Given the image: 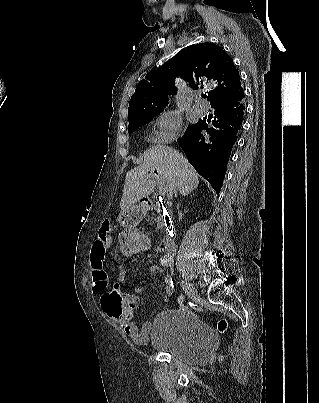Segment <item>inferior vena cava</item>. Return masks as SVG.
Wrapping results in <instances>:
<instances>
[{
    "instance_id": "602c4592",
    "label": "inferior vena cava",
    "mask_w": 319,
    "mask_h": 403,
    "mask_svg": "<svg viewBox=\"0 0 319 403\" xmlns=\"http://www.w3.org/2000/svg\"><path fill=\"white\" fill-rule=\"evenodd\" d=\"M173 193L175 194V196H177V189H175V190L173 191Z\"/></svg>"
}]
</instances>
